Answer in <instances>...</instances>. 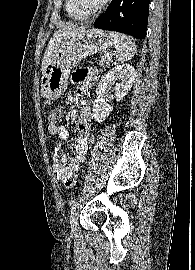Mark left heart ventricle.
Wrapping results in <instances>:
<instances>
[{
	"instance_id": "1",
	"label": "left heart ventricle",
	"mask_w": 195,
	"mask_h": 270,
	"mask_svg": "<svg viewBox=\"0 0 195 270\" xmlns=\"http://www.w3.org/2000/svg\"><path fill=\"white\" fill-rule=\"evenodd\" d=\"M101 0H81L82 4L87 8L95 7Z\"/></svg>"
}]
</instances>
